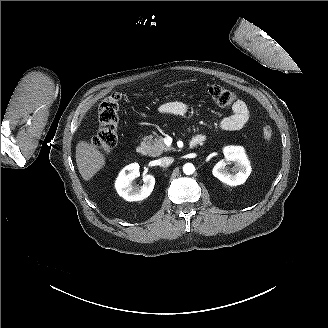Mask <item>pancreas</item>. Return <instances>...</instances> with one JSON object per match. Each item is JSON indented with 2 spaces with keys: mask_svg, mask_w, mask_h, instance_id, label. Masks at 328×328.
Segmentation results:
<instances>
[{
  "mask_svg": "<svg viewBox=\"0 0 328 328\" xmlns=\"http://www.w3.org/2000/svg\"><path fill=\"white\" fill-rule=\"evenodd\" d=\"M142 142L148 147L149 155L153 157H157L163 152L173 149L171 146H167L164 143V137L162 135H158L154 138L151 136L143 137Z\"/></svg>",
  "mask_w": 328,
  "mask_h": 328,
  "instance_id": "cf45deb5",
  "label": "pancreas"
}]
</instances>
